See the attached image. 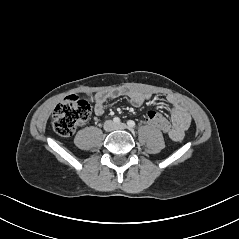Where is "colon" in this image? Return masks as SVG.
<instances>
[{"label":"colon","mask_w":239,"mask_h":239,"mask_svg":"<svg viewBox=\"0 0 239 239\" xmlns=\"http://www.w3.org/2000/svg\"><path fill=\"white\" fill-rule=\"evenodd\" d=\"M91 112L89 100L70 95L55 107L52 117L53 129L61 136H71L78 126L90 118ZM144 118L146 123L154 126L158 132H165L170 127L168 117L156 109H149Z\"/></svg>","instance_id":"colon-1"}]
</instances>
